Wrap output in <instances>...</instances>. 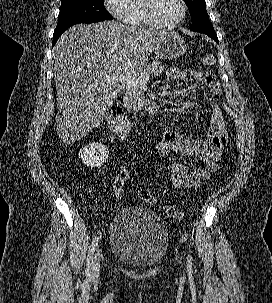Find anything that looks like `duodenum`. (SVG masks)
<instances>
[{"instance_id":"obj_1","label":"duodenum","mask_w":272,"mask_h":303,"mask_svg":"<svg viewBox=\"0 0 272 303\" xmlns=\"http://www.w3.org/2000/svg\"><path fill=\"white\" fill-rule=\"evenodd\" d=\"M154 109L151 103L142 105L138 110L128 109L121 100L115 102L107 115V128L110 133L123 138L127 133L130 121L140 114H148Z\"/></svg>"}]
</instances>
